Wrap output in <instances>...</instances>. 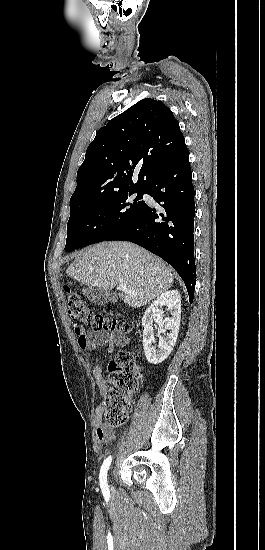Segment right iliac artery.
Masks as SVG:
<instances>
[{
    "instance_id": "1",
    "label": "right iliac artery",
    "mask_w": 265,
    "mask_h": 550,
    "mask_svg": "<svg viewBox=\"0 0 265 550\" xmlns=\"http://www.w3.org/2000/svg\"><path fill=\"white\" fill-rule=\"evenodd\" d=\"M112 461V457L109 456L102 464L101 470H100V487L104 495L109 494V488L107 483V471L109 469L110 463Z\"/></svg>"
}]
</instances>
